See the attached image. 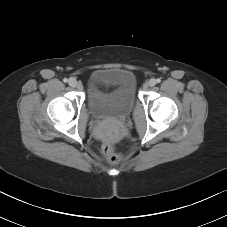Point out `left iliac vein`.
I'll return each instance as SVG.
<instances>
[{
	"mask_svg": "<svg viewBox=\"0 0 227 227\" xmlns=\"http://www.w3.org/2000/svg\"><path fill=\"white\" fill-rule=\"evenodd\" d=\"M155 85H156V80L154 78H152L148 81V86L153 87Z\"/></svg>",
	"mask_w": 227,
	"mask_h": 227,
	"instance_id": "left-iliac-vein-1",
	"label": "left iliac vein"
}]
</instances>
